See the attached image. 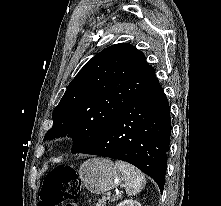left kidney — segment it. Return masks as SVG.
<instances>
[{"label":"left kidney","mask_w":221,"mask_h":206,"mask_svg":"<svg viewBox=\"0 0 221 206\" xmlns=\"http://www.w3.org/2000/svg\"><path fill=\"white\" fill-rule=\"evenodd\" d=\"M116 206H141V204L136 200L126 199L117 204Z\"/></svg>","instance_id":"obj_1"}]
</instances>
